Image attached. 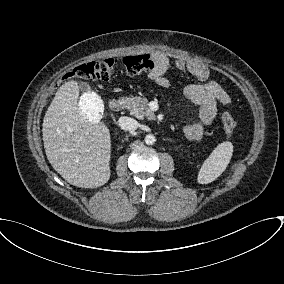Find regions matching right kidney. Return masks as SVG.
<instances>
[{"instance_id":"1","label":"right kidney","mask_w":284,"mask_h":284,"mask_svg":"<svg viewBox=\"0 0 284 284\" xmlns=\"http://www.w3.org/2000/svg\"><path fill=\"white\" fill-rule=\"evenodd\" d=\"M82 118L91 123H97L100 119L99 109L101 100L94 92H85L79 102Z\"/></svg>"}]
</instances>
